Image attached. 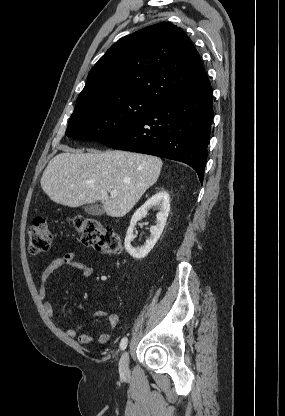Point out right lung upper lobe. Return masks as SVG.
Masks as SVG:
<instances>
[{"instance_id":"obj_1","label":"right lung upper lobe","mask_w":285,"mask_h":416,"mask_svg":"<svg viewBox=\"0 0 285 416\" xmlns=\"http://www.w3.org/2000/svg\"><path fill=\"white\" fill-rule=\"evenodd\" d=\"M209 84L190 38L163 22L112 45L90 70L74 110L126 97L161 105Z\"/></svg>"}]
</instances>
